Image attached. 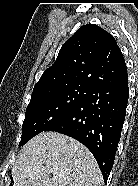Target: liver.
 Returning <instances> with one entry per match:
<instances>
[{"mask_svg": "<svg viewBox=\"0 0 138 186\" xmlns=\"http://www.w3.org/2000/svg\"><path fill=\"white\" fill-rule=\"evenodd\" d=\"M11 175L14 186H102L103 183L92 153L80 142L57 132H42L26 143Z\"/></svg>", "mask_w": 138, "mask_h": 186, "instance_id": "6515ba94", "label": "liver"}]
</instances>
